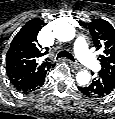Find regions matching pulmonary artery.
<instances>
[{
  "mask_svg": "<svg viewBox=\"0 0 115 119\" xmlns=\"http://www.w3.org/2000/svg\"><path fill=\"white\" fill-rule=\"evenodd\" d=\"M74 51L76 57L88 68L93 70L100 69V63L90 52L85 39L82 36H77L74 40Z\"/></svg>",
  "mask_w": 115,
  "mask_h": 119,
  "instance_id": "obj_1",
  "label": "pulmonary artery"
}]
</instances>
